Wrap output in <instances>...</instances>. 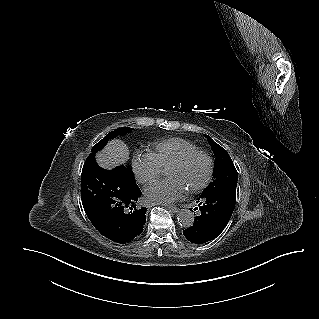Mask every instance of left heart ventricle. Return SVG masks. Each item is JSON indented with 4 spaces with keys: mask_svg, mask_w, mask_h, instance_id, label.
<instances>
[{
    "mask_svg": "<svg viewBox=\"0 0 319 319\" xmlns=\"http://www.w3.org/2000/svg\"><path fill=\"white\" fill-rule=\"evenodd\" d=\"M207 169L206 159L203 156H195L182 166L168 168L166 175L179 179L187 189H191L204 180Z\"/></svg>",
    "mask_w": 319,
    "mask_h": 319,
    "instance_id": "obj_1",
    "label": "left heart ventricle"
}]
</instances>
